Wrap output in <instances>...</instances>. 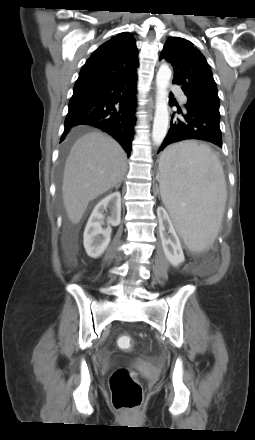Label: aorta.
<instances>
[{
    "instance_id": "762f6f07",
    "label": "aorta",
    "mask_w": 255,
    "mask_h": 440,
    "mask_svg": "<svg viewBox=\"0 0 255 440\" xmlns=\"http://www.w3.org/2000/svg\"><path fill=\"white\" fill-rule=\"evenodd\" d=\"M171 70L166 64H162L156 75V109L153 123L152 140L155 145H160L168 131L169 111L168 92L170 85Z\"/></svg>"
}]
</instances>
